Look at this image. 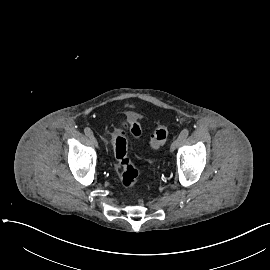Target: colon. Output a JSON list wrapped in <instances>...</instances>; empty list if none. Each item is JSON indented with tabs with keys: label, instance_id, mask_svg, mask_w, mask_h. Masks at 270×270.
Returning <instances> with one entry per match:
<instances>
[{
	"label": "colon",
	"instance_id": "1",
	"mask_svg": "<svg viewBox=\"0 0 270 270\" xmlns=\"http://www.w3.org/2000/svg\"><path fill=\"white\" fill-rule=\"evenodd\" d=\"M127 132L133 137L142 134L143 129L140 120L136 117L127 118L115 130L113 135L114 154L117 167L121 176V184L128 191H134L139 184L138 170L128 155ZM170 135L168 126L155 127L149 134L146 146L156 149L162 146Z\"/></svg>",
	"mask_w": 270,
	"mask_h": 270
}]
</instances>
